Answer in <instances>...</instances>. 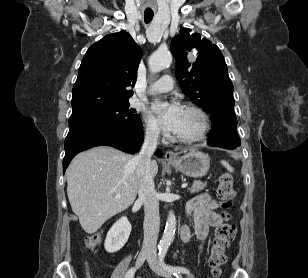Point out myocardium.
<instances>
[{
  "instance_id": "obj_1",
  "label": "myocardium",
  "mask_w": 308,
  "mask_h": 278,
  "mask_svg": "<svg viewBox=\"0 0 308 278\" xmlns=\"http://www.w3.org/2000/svg\"><path fill=\"white\" fill-rule=\"evenodd\" d=\"M185 110L192 111L198 115L201 121V127L199 131L193 135H175L176 140L183 143L197 142L205 138L210 129V118L207 112L194 104H187L184 106Z\"/></svg>"
}]
</instances>
